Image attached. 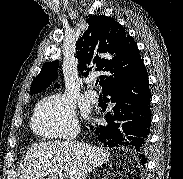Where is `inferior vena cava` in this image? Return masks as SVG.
<instances>
[{
  "mask_svg": "<svg viewBox=\"0 0 183 179\" xmlns=\"http://www.w3.org/2000/svg\"><path fill=\"white\" fill-rule=\"evenodd\" d=\"M76 136H77V134L76 133H73V134H70V135H68V136H66V138H65V142L67 143V144H69V145H72V141L76 138Z\"/></svg>",
  "mask_w": 183,
  "mask_h": 179,
  "instance_id": "1",
  "label": "inferior vena cava"
}]
</instances>
